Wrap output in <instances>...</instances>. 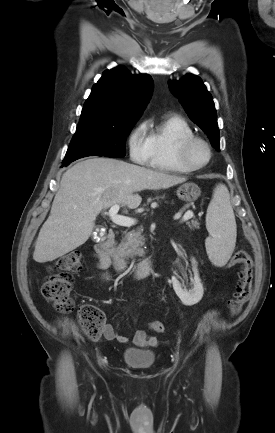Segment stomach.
I'll list each match as a JSON object with an SVG mask.
<instances>
[{
  "instance_id": "obj_1",
  "label": "stomach",
  "mask_w": 275,
  "mask_h": 433,
  "mask_svg": "<svg viewBox=\"0 0 275 433\" xmlns=\"http://www.w3.org/2000/svg\"><path fill=\"white\" fill-rule=\"evenodd\" d=\"M176 193L179 199L186 202H193L198 199L201 190L195 183H185L177 189Z\"/></svg>"
}]
</instances>
